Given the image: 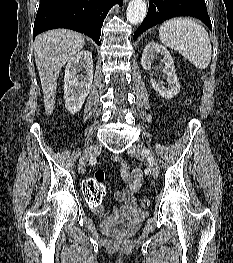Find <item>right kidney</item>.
Segmentation results:
<instances>
[{
	"label": "right kidney",
	"mask_w": 233,
	"mask_h": 263,
	"mask_svg": "<svg viewBox=\"0 0 233 263\" xmlns=\"http://www.w3.org/2000/svg\"><path fill=\"white\" fill-rule=\"evenodd\" d=\"M82 69H85L84 74H78ZM93 72L90 51L82 50L69 60L64 76V97L65 107L71 114L77 113L83 106L92 87Z\"/></svg>",
	"instance_id": "obj_1"
}]
</instances>
